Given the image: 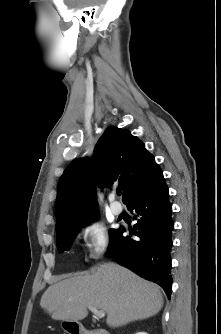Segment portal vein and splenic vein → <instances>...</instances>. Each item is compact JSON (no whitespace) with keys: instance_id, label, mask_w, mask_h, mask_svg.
<instances>
[{"instance_id":"1","label":"portal vein and splenic vein","mask_w":221,"mask_h":334,"mask_svg":"<svg viewBox=\"0 0 221 334\" xmlns=\"http://www.w3.org/2000/svg\"><path fill=\"white\" fill-rule=\"evenodd\" d=\"M88 309L97 317V318H103L105 317V311L99 310L94 306H88Z\"/></svg>"}]
</instances>
